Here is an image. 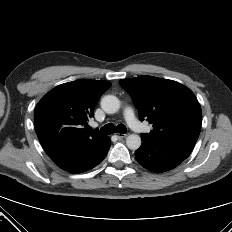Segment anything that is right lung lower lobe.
I'll return each instance as SVG.
<instances>
[{"mask_svg":"<svg viewBox=\"0 0 232 232\" xmlns=\"http://www.w3.org/2000/svg\"><path fill=\"white\" fill-rule=\"evenodd\" d=\"M110 148V139L106 145L93 153L72 156L56 163L61 169L71 173H82L94 168L98 165L106 156Z\"/></svg>","mask_w":232,"mask_h":232,"instance_id":"98d812e1","label":"right lung lower lobe"}]
</instances>
